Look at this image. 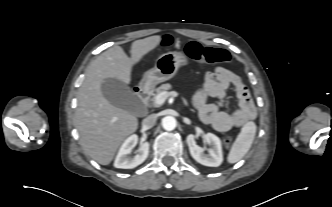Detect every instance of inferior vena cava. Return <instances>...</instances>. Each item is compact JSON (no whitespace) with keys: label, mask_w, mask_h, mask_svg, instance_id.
Masks as SVG:
<instances>
[{"label":"inferior vena cava","mask_w":332,"mask_h":207,"mask_svg":"<svg viewBox=\"0 0 332 207\" xmlns=\"http://www.w3.org/2000/svg\"><path fill=\"white\" fill-rule=\"evenodd\" d=\"M156 120H157L156 115L151 114L142 121V126L146 129H150L155 125Z\"/></svg>","instance_id":"602c4592"}]
</instances>
